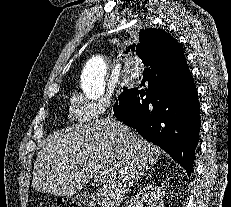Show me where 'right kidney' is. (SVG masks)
I'll list each match as a JSON object with an SVG mask.
<instances>
[{
    "label": "right kidney",
    "mask_w": 231,
    "mask_h": 207,
    "mask_svg": "<svg viewBox=\"0 0 231 207\" xmlns=\"http://www.w3.org/2000/svg\"><path fill=\"white\" fill-rule=\"evenodd\" d=\"M164 191L154 184L145 185L130 200L127 207H163Z\"/></svg>",
    "instance_id": "ca27d5eb"
}]
</instances>
